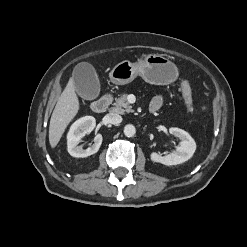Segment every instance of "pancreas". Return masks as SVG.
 <instances>
[{"mask_svg": "<svg viewBox=\"0 0 247 247\" xmlns=\"http://www.w3.org/2000/svg\"><path fill=\"white\" fill-rule=\"evenodd\" d=\"M114 107L111 109L112 112L119 114L133 112L132 106L127 102V94H123L119 98L115 99Z\"/></svg>", "mask_w": 247, "mask_h": 247, "instance_id": "1", "label": "pancreas"}]
</instances>
